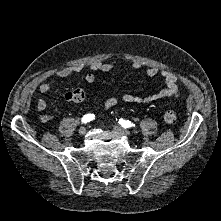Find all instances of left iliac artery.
I'll return each mask as SVG.
<instances>
[{
  "instance_id": "left-iliac-artery-1",
  "label": "left iliac artery",
  "mask_w": 221,
  "mask_h": 221,
  "mask_svg": "<svg viewBox=\"0 0 221 221\" xmlns=\"http://www.w3.org/2000/svg\"><path fill=\"white\" fill-rule=\"evenodd\" d=\"M119 124H121L125 128L131 127V126H135L129 120H124L122 118L119 119Z\"/></svg>"
}]
</instances>
